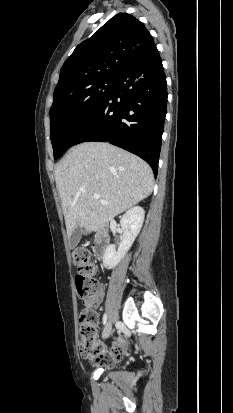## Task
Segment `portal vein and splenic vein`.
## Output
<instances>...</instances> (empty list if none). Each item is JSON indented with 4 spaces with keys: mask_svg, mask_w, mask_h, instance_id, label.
Here are the masks:
<instances>
[{
    "mask_svg": "<svg viewBox=\"0 0 233 413\" xmlns=\"http://www.w3.org/2000/svg\"><path fill=\"white\" fill-rule=\"evenodd\" d=\"M93 198H94L95 200H99V201L102 202V203H107L106 201L100 199V195H99V194H93Z\"/></svg>",
    "mask_w": 233,
    "mask_h": 413,
    "instance_id": "obj_1",
    "label": "portal vein and splenic vein"
}]
</instances>
